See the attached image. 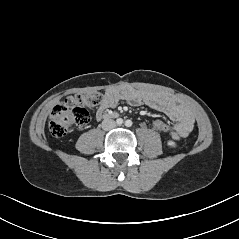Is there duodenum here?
Returning <instances> with one entry per match:
<instances>
[{
  "label": "duodenum",
  "mask_w": 239,
  "mask_h": 239,
  "mask_svg": "<svg viewBox=\"0 0 239 239\" xmlns=\"http://www.w3.org/2000/svg\"><path fill=\"white\" fill-rule=\"evenodd\" d=\"M116 114L115 113H112V114H106L104 115V118H112V117H115Z\"/></svg>",
  "instance_id": "1"
}]
</instances>
